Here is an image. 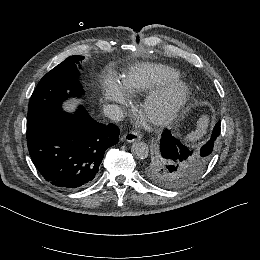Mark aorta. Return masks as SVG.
<instances>
[{
	"mask_svg": "<svg viewBox=\"0 0 260 260\" xmlns=\"http://www.w3.org/2000/svg\"><path fill=\"white\" fill-rule=\"evenodd\" d=\"M131 153L137 159H145L149 154V147L145 142L137 141L132 144Z\"/></svg>",
	"mask_w": 260,
	"mask_h": 260,
	"instance_id": "aorta-1",
	"label": "aorta"
}]
</instances>
